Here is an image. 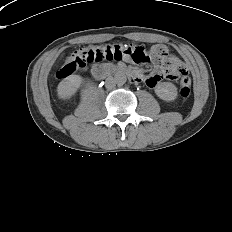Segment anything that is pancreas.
I'll return each mask as SVG.
<instances>
[{
  "label": "pancreas",
  "mask_w": 232,
  "mask_h": 232,
  "mask_svg": "<svg viewBox=\"0 0 232 232\" xmlns=\"http://www.w3.org/2000/svg\"><path fill=\"white\" fill-rule=\"evenodd\" d=\"M111 68H112V69H114V68H115V66H114V65H111Z\"/></svg>",
  "instance_id": "cf45deb5"
}]
</instances>
